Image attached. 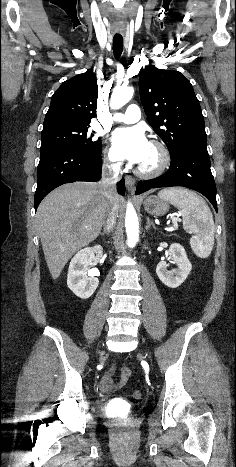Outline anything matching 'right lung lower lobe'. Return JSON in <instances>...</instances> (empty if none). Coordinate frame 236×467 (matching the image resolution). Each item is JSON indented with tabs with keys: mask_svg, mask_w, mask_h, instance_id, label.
<instances>
[{
	"mask_svg": "<svg viewBox=\"0 0 236 467\" xmlns=\"http://www.w3.org/2000/svg\"><path fill=\"white\" fill-rule=\"evenodd\" d=\"M102 155L76 148L58 147L40 153L37 170L35 209L56 187L75 181L95 182L101 179ZM118 193L125 194V182L117 183Z\"/></svg>",
	"mask_w": 236,
	"mask_h": 467,
	"instance_id": "98d812e1",
	"label": "right lung lower lobe"
}]
</instances>
